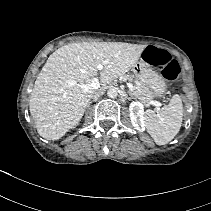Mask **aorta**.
<instances>
[{
    "instance_id": "obj_1",
    "label": "aorta",
    "mask_w": 211,
    "mask_h": 211,
    "mask_svg": "<svg viewBox=\"0 0 211 211\" xmlns=\"http://www.w3.org/2000/svg\"><path fill=\"white\" fill-rule=\"evenodd\" d=\"M118 95V92L115 88H110L108 91H107V96L109 98H116Z\"/></svg>"
}]
</instances>
